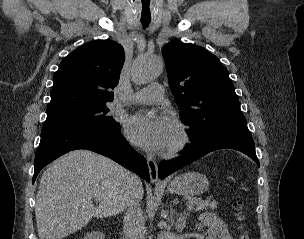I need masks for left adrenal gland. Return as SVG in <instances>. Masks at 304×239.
<instances>
[{
  "instance_id": "1",
  "label": "left adrenal gland",
  "mask_w": 304,
  "mask_h": 239,
  "mask_svg": "<svg viewBox=\"0 0 304 239\" xmlns=\"http://www.w3.org/2000/svg\"><path fill=\"white\" fill-rule=\"evenodd\" d=\"M172 214H176V220L173 219V221L175 222V227L177 229L178 232H182L183 229L186 227V219L189 216L188 212H184V213H177L174 210H172Z\"/></svg>"
}]
</instances>
